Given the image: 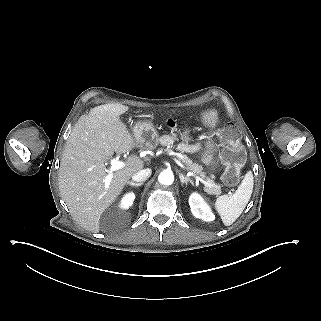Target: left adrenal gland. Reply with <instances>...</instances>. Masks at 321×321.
<instances>
[{
    "label": "left adrenal gland",
    "mask_w": 321,
    "mask_h": 321,
    "mask_svg": "<svg viewBox=\"0 0 321 321\" xmlns=\"http://www.w3.org/2000/svg\"><path fill=\"white\" fill-rule=\"evenodd\" d=\"M179 178H180L181 186H184L187 183H190L192 186H194V183L190 179L185 177L183 174L180 173Z\"/></svg>",
    "instance_id": "1"
}]
</instances>
